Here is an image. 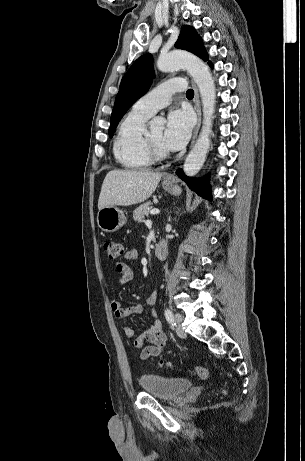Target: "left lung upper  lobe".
<instances>
[{
    "mask_svg": "<svg viewBox=\"0 0 305 461\" xmlns=\"http://www.w3.org/2000/svg\"><path fill=\"white\" fill-rule=\"evenodd\" d=\"M175 47L190 51L204 61L208 59L201 37L191 26L185 25L182 28L178 40L175 43ZM152 62L153 57L151 54H145L139 57L122 78L111 114V124L109 128L110 138L113 137L119 121L131 105L142 97L150 88L154 77Z\"/></svg>",
    "mask_w": 305,
    "mask_h": 461,
    "instance_id": "left-lung-upper-lobe-1",
    "label": "left lung upper lobe"
}]
</instances>
